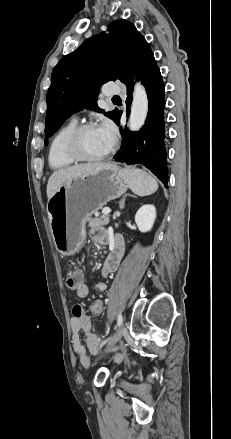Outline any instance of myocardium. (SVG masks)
<instances>
[{
  "label": "myocardium",
  "instance_id": "f54148a6",
  "mask_svg": "<svg viewBox=\"0 0 231 439\" xmlns=\"http://www.w3.org/2000/svg\"><path fill=\"white\" fill-rule=\"evenodd\" d=\"M96 128L93 123H82L76 125L66 136L64 140V151L66 155L75 162H98L107 158L113 151V146L99 156L89 157L84 155L78 145L79 137L83 132Z\"/></svg>",
  "mask_w": 231,
  "mask_h": 439
}]
</instances>
